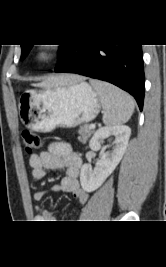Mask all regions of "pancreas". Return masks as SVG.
Returning a JSON list of instances; mask_svg holds the SVG:
<instances>
[{
	"label": "pancreas",
	"mask_w": 166,
	"mask_h": 267,
	"mask_svg": "<svg viewBox=\"0 0 166 267\" xmlns=\"http://www.w3.org/2000/svg\"><path fill=\"white\" fill-rule=\"evenodd\" d=\"M93 129L89 127V125H83L78 130V134L80 135L79 141L82 143H86L90 136L93 134Z\"/></svg>",
	"instance_id": "pancreas-1"
}]
</instances>
